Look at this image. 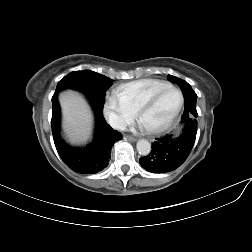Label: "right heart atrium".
<instances>
[{
  "mask_svg": "<svg viewBox=\"0 0 252 252\" xmlns=\"http://www.w3.org/2000/svg\"><path fill=\"white\" fill-rule=\"evenodd\" d=\"M106 101L109 110V120L114 127H124L135 116L136 110L120 91L114 90L109 93Z\"/></svg>",
  "mask_w": 252,
  "mask_h": 252,
  "instance_id": "right-heart-atrium-1",
  "label": "right heart atrium"
}]
</instances>
